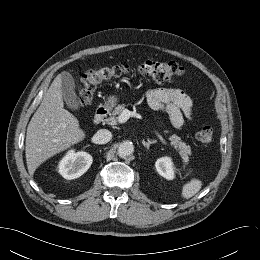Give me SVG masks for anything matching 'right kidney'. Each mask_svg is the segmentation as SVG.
I'll return each instance as SVG.
<instances>
[{
    "mask_svg": "<svg viewBox=\"0 0 260 260\" xmlns=\"http://www.w3.org/2000/svg\"><path fill=\"white\" fill-rule=\"evenodd\" d=\"M92 161V156L87 152L70 150L59 162L58 170L65 179H75L90 168Z\"/></svg>",
    "mask_w": 260,
    "mask_h": 260,
    "instance_id": "ca27d5eb",
    "label": "right kidney"
}]
</instances>
